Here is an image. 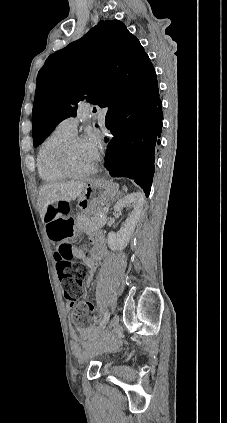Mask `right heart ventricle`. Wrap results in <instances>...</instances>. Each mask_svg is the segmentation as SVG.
I'll return each mask as SVG.
<instances>
[{"mask_svg":"<svg viewBox=\"0 0 227 423\" xmlns=\"http://www.w3.org/2000/svg\"><path fill=\"white\" fill-rule=\"evenodd\" d=\"M60 126L49 133L41 142L37 153V170L41 179L45 182H59L66 178L56 163V151L60 145L71 138Z\"/></svg>","mask_w":227,"mask_h":423,"instance_id":"obj_1","label":"right heart ventricle"}]
</instances>
